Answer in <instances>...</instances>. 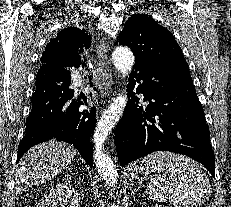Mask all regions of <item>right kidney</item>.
Here are the masks:
<instances>
[{
	"label": "right kidney",
	"instance_id": "right-kidney-1",
	"mask_svg": "<svg viewBox=\"0 0 231 207\" xmlns=\"http://www.w3.org/2000/svg\"><path fill=\"white\" fill-rule=\"evenodd\" d=\"M77 190L68 184H59L44 196L39 207H79Z\"/></svg>",
	"mask_w": 231,
	"mask_h": 207
}]
</instances>
